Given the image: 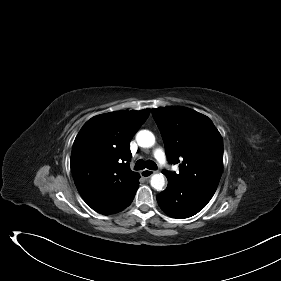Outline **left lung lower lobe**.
<instances>
[{
    "label": "left lung lower lobe",
    "instance_id": "0a47b994",
    "mask_svg": "<svg viewBox=\"0 0 281 281\" xmlns=\"http://www.w3.org/2000/svg\"><path fill=\"white\" fill-rule=\"evenodd\" d=\"M213 195L196 185L168 180L167 188L156 198L168 216L183 219L197 214Z\"/></svg>",
    "mask_w": 281,
    "mask_h": 281
}]
</instances>
